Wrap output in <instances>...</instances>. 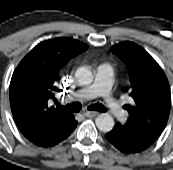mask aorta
Here are the masks:
<instances>
[{"instance_id":"762f6f07","label":"aorta","mask_w":173,"mask_h":170,"mask_svg":"<svg viewBox=\"0 0 173 170\" xmlns=\"http://www.w3.org/2000/svg\"><path fill=\"white\" fill-rule=\"evenodd\" d=\"M76 76L80 82L90 83L92 82V73L87 68H80L76 72ZM97 128L102 132H109L113 129L115 123L113 117L108 113H102L95 119Z\"/></svg>"}]
</instances>
